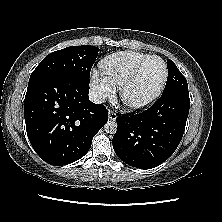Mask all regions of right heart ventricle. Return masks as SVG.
Segmentation results:
<instances>
[{
    "label": "right heart ventricle",
    "instance_id": "1",
    "mask_svg": "<svg viewBox=\"0 0 222 222\" xmlns=\"http://www.w3.org/2000/svg\"><path fill=\"white\" fill-rule=\"evenodd\" d=\"M149 56L135 51L118 52L104 58L101 68L113 85L120 87L136 67Z\"/></svg>",
    "mask_w": 222,
    "mask_h": 222
}]
</instances>
